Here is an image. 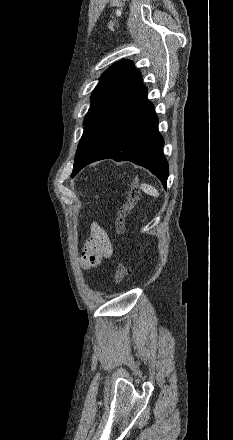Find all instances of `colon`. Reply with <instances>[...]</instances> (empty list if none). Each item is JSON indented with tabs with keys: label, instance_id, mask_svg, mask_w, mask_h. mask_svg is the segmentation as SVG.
I'll list each match as a JSON object with an SVG mask.
<instances>
[{
	"label": "colon",
	"instance_id": "colon-1",
	"mask_svg": "<svg viewBox=\"0 0 233 440\" xmlns=\"http://www.w3.org/2000/svg\"><path fill=\"white\" fill-rule=\"evenodd\" d=\"M128 186L129 191L127 199L119 208L116 215V234L118 236H121L124 233L126 217L137 205L141 198V191L133 179H130L128 181ZM127 273L128 271L124 262L122 260L119 261L115 272V283L120 284L126 277Z\"/></svg>",
	"mask_w": 233,
	"mask_h": 440
}]
</instances>
